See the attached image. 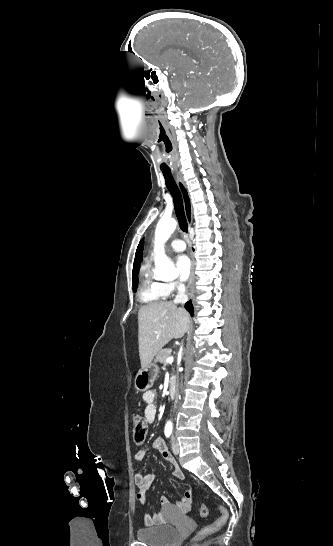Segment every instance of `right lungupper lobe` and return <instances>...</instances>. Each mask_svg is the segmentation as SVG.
Returning <instances> with one entry per match:
<instances>
[{"label": "right lung upper lobe", "instance_id": "obj_1", "mask_svg": "<svg viewBox=\"0 0 333 546\" xmlns=\"http://www.w3.org/2000/svg\"><path fill=\"white\" fill-rule=\"evenodd\" d=\"M143 246H144V242H143V240H141L138 247H137V250H136V257H135L134 263L139 264L141 262L142 253H143ZM138 270H139V266H138ZM134 283H135V280L133 279V284Z\"/></svg>", "mask_w": 333, "mask_h": 546}]
</instances>
